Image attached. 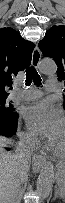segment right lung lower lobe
Returning <instances> with one entry per match:
<instances>
[{
  "label": "right lung lower lobe",
  "instance_id": "right-lung-lower-lobe-1",
  "mask_svg": "<svg viewBox=\"0 0 65 203\" xmlns=\"http://www.w3.org/2000/svg\"><path fill=\"white\" fill-rule=\"evenodd\" d=\"M18 117L16 119H0V135L11 137L17 131ZM10 150L9 148H6Z\"/></svg>",
  "mask_w": 65,
  "mask_h": 203
}]
</instances>
